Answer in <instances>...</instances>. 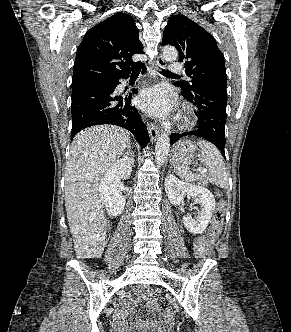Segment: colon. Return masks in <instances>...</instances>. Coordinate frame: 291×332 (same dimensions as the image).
Segmentation results:
<instances>
[{
    "mask_svg": "<svg viewBox=\"0 0 291 332\" xmlns=\"http://www.w3.org/2000/svg\"><path fill=\"white\" fill-rule=\"evenodd\" d=\"M224 208L225 204L223 201L219 202L218 208L214 214L212 221V226L207 235V242L210 251L213 252L214 247L216 246L217 239L222 231V224L224 218Z\"/></svg>",
    "mask_w": 291,
    "mask_h": 332,
    "instance_id": "obj_1",
    "label": "colon"
}]
</instances>
